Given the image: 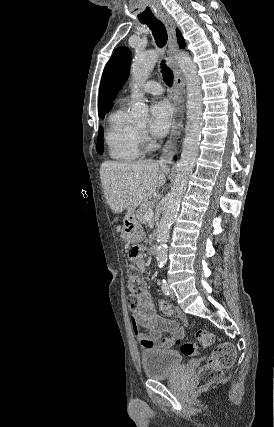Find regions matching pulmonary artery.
<instances>
[{"instance_id": "pulmonary-artery-1", "label": "pulmonary artery", "mask_w": 274, "mask_h": 427, "mask_svg": "<svg viewBox=\"0 0 274 427\" xmlns=\"http://www.w3.org/2000/svg\"><path fill=\"white\" fill-rule=\"evenodd\" d=\"M142 92L158 96V95L163 94V87L158 82H156L154 80H149L143 85ZM131 97L132 96L129 95L127 97V101H130Z\"/></svg>"}]
</instances>
